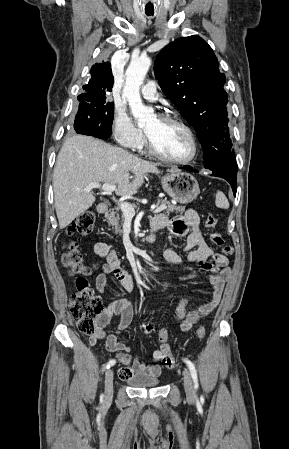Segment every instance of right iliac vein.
Returning a JSON list of instances; mask_svg holds the SVG:
<instances>
[{
    "label": "right iliac vein",
    "mask_w": 289,
    "mask_h": 449,
    "mask_svg": "<svg viewBox=\"0 0 289 449\" xmlns=\"http://www.w3.org/2000/svg\"><path fill=\"white\" fill-rule=\"evenodd\" d=\"M113 371L108 369L105 374V392H104V402L108 403L113 396Z\"/></svg>",
    "instance_id": "obj_1"
}]
</instances>
